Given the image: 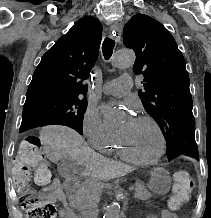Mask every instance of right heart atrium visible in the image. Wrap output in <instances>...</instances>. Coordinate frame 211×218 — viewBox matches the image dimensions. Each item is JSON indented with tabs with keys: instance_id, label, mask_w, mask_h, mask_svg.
Wrapping results in <instances>:
<instances>
[{
	"instance_id": "obj_1",
	"label": "right heart atrium",
	"mask_w": 211,
	"mask_h": 218,
	"mask_svg": "<svg viewBox=\"0 0 211 218\" xmlns=\"http://www.w3.org/2000/svg\"><path fill=\"white\" fill-rule=\"evenodd\" d=\"M82 129L90 144L96 149L115 139V135L107 129L98 112L90 108L83 115Z\"/></svg>"
}]
</instances>
